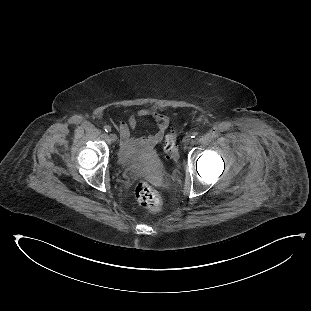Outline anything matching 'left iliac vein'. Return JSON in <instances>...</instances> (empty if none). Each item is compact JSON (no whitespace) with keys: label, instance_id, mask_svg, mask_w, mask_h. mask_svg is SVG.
Instances as JSON below:
<instances>
[{"label":"left iliac vein","instance_id":"obj_1","mask_svg":"<svg viewBox=\"0 0 311 311\" xmlns=\"http://www.w3.org/2000/svg\"><path fill=\"white\" fill-rule=\"evenodd\" d=\"M191 142V136L190 135H186L184 138H183V144L186 146V145H189Z\"/></svg>","mask_w":311,"mask_h":311}]
</instances>
